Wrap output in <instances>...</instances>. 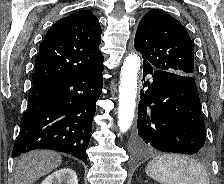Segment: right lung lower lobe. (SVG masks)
Here are the masks:
<instances>
[{
  "instance_id": "98d812e1",
  "label": "right lung lower lobe",
  "mask_w": 224,
  "mask_h": 184,
  "mask_svg": "<svg viewBox=\"0 0 224 184\" xmlns=\"http://www.w3.org/2000/svg\"><path fill=\"white\" fill-rule=\"evenodd\" d=\"M100 68L33 86L20 123L13 157L34 149L65 152L87 164L96 101L102 90Z\"/></svg>"
}]
</instances>
